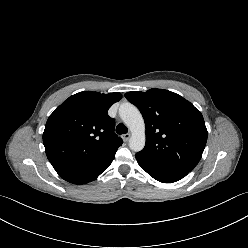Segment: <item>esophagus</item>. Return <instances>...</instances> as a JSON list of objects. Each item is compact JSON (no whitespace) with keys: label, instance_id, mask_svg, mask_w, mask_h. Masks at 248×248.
Segmentation results:
<instances>
[{"label":"esophagus","instance_id":"1","mask_svg":"<svg viewBox=\"0 0 248 248\" xmlns=\"http://www.w3.org/2000/svg\"><path fill=\"white\" fill-rule=\"evenodd\" d=\"M130 137H131L130 133L124 134V135L122 136V138H123V140H124L125 142H127V141L130 139Z\"/></svg>","mask_w":248,"mask_h":248}]
</instances>
